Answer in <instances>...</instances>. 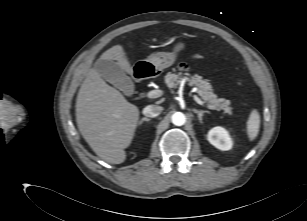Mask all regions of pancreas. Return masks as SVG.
I'll return each instance as SVG.
<instances>
[{
	"mask_svg": "<svg viewBox=\"0 0 307 221\" xmlns=\"http://www.w3.org/2000/svg\"><path fill=\"white\" fill-rule=\"evenodd\" d=\"M182 80L188 83L189 86L197 88L198 95L208 103V106L212 109L223 110L224 114H231L232 107L231 102L225 98H219L212 89V86L207 80H203L202 76L195 74H185L182 73H168L165 76V83L169 88H175L178 86Z\"/></svg>",
	"mask_w": 307,
	"mask_h": 221,
	"instance_id": "pancreas-1",
	"label": "pancreas"
}]
</instances>
